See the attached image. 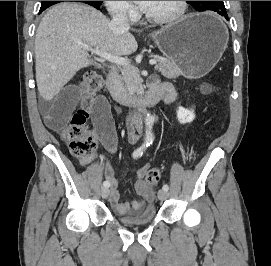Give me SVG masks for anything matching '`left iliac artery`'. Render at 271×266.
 Listing matches in <instances>:
<instances>
[{
    "mask_svg": "<svg viewBox=\"0 0 271 266\" xmlns=\"http://www.w3.org/2000/svg\"><path fill=\"white\" fill-rule=\"evenodd\" d=\"M162 189L165 190V191H168L169 186H168L167 184H164V185L162 186Z\"/></svg>",
    "mask_w": 271,
    "mask_h": 266,
    "instance_id": "1",
    "label": "left iliac artery"
}]
</instances>
